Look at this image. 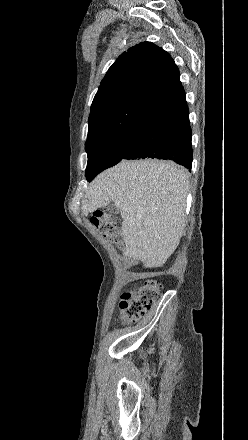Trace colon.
<instances>
[{
	"label": "colon",
	"mask_w": 248,
	"mask_h": 440,
	"mask_svg": "<svg viewBox=\"0 0 248 440\" xmlns=\"http://www.w3.org/2000/svg\"><path fill=\"white\" fill-rule=\"evenodd\" d=\"M91 223L99 229L105 238L118 247H123L116 218L98 211L92 216ZM160 290L161 285L156 280L148 279L133 290L124 292L119 303L120 321L125 325L137 322L151 310Z\"/></svg>",
	"instance_id": "1"
}]
</instances>
